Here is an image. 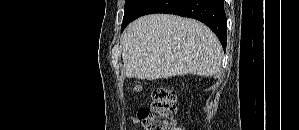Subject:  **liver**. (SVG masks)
I'll use <instances>...</instances> for the list:
<instances>
[{"mask_svg": "<svg viewBox=\"0 0 299 130\" xmlns=\"http://www.w3.org/2000/svg\"><path fill=\"white\" fill-rule=\"evenodd\" d=\"M222 57L221 44L207 26L175 15L140 17L122 36V59L130 78L213 76L221 70Z\"/></svg>", "mask_w": 299, "mask_h": 130, "instance_id": "liver-1", "label": "liver"}]
</instances>
